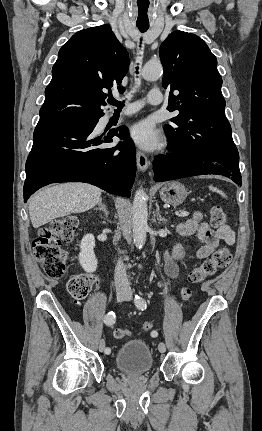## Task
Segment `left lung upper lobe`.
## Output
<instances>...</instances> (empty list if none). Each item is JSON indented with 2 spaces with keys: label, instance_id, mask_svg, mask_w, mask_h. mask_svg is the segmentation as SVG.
Segmentation results:
<instances>
[{
  "label": "left lung upper lobe",
  "instance_id": "obj_1",
  "mask_svg": "<svg viewBox=\"0 0 262 431\" xmlns=\"http://www.w3.org/2000/svg\"><path fill=\"white\" fill-rule=\"evenodd\" d=\"M163 87L169 91V111L178 110L165 125L169 144L178 152L217 155L234 144L224 114L225 99L217 59L197 35L174 31L162 43ZM178 91L173 95V91Z\"/></svg>",
  "mask_w": 262,
  "mask_h": 431
}]
</instances>
